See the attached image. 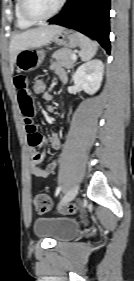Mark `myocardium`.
<instances>
[{
	"label": "myocardium",
	"instance_id": "obj_1",
	"mask_svg": "<svg viewBox=\"0 0 134 281\" xmlns=\"http://www.w3.org/2000/svg\"><path fill=\"white\" fill-rule=\"evenodd\" d=\"M67 0H60L57 7L47 15H37L29 7V0H20V8L23 16L34 23L43 22L56 16L64 7Z\"/></svg>",
	"mask_w": 134,
	"mask_h": 281
}]
</instances>
